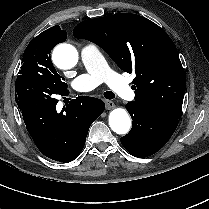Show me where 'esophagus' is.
Returning <instances> with one entry per match:
<instances>
[{"mask_svg":"<svg viewBox=\"0 0 209 209\" xmlns=\"http://www.w3.org/2000/svg\"><path fill=\"white\" fill-rule=\"evenodd\" d=\"M105 105H106L107 110L113 109L115 107L114 102H112L110 100H105Z\"/></svg>","mask_w":209,"mask_h":209,"instance_id":"1","label":"esophagus"}]
</instances>
